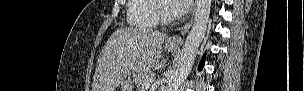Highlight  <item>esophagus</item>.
Wrapping results in <instances>:
<instances>
[{"instance_id": "1", "label": "esophagus", "mask_w": 304, "mask_h": 91, "mask_svg": "<svg viewBox=\"0 0 304 91\" xmlns=\"http://www.w3.org/2000/svg\"><path fill=\"white\" fill-rule=\"evenodd\" d=\"M193 18H194V13L192 14V17L190 20L180 29V34L174 35L169 39V44L173 46H181L183 43V37L184 35L188 32L190 27L192 26L193 23Z\"/></svg>"}]
</instances>
